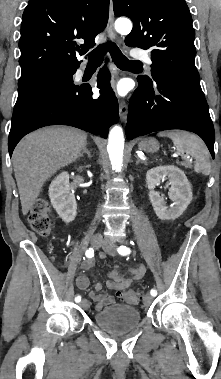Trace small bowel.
I'll use <instances>...</instances> for the list:
<instances>
[{"mask_svg":"<svg viewBox=\"0 0 221 379\" xmlns=\"http://www.w3.org/2000/svg\"><path fill=\"white\" fill-rule=\"evenodd\" d=\"M94 266L93 259H87L82 263V268L89 270ZM146 274V268L143 264L137 265L135 268L123 270L118 266H115L110 272V280L107 282L108 288L119 292L124 291L129 287L133 281L142 279ZM76 284L79 289H87L89 286V280L85 275H79L76 279ZM103 285L100 281L95 284V290L90 291L89 297L95 302V309L97 311L102 310L104 307L111 305L114 302V298L110 294H100L98 291L102 289Z\"/></svg>","mask_w":221,"mask_h":379,"instance_id":"small-bowel-1","label":"small bowel"}]
</instances>
